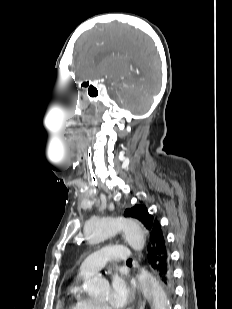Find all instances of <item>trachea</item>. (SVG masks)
<instances>
[{"mask_svg":"<svg viewBox=\"0 0 232 309\" xmlns=\"http://www.w3.org/2000/svg\"><path fill=\"white\" fill-rule=\"evenodd\" d=\"M84 166H85V169H86V172H87V163L86 161L84 162ZM131 260H128L127 262H130Z\"/></svg>","mask_w":232,"mask_h":309,"instance_id":"obj_1","label":"trachea"}]
</instances>
